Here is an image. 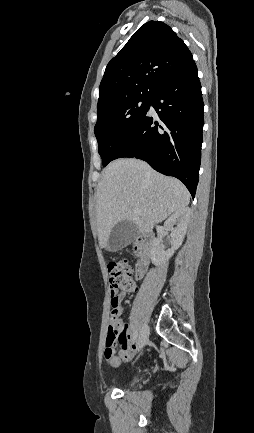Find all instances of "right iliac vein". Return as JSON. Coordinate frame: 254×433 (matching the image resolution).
<instances>
[{
  "label": "right iliac vein",
  "mask_w": 254,
  "mask_h": 433,
  "mask_svg": "<svg viewBox=\"0 0 254 433\" xmlns=\"http://www.w3.org/2000/svg\"><path fill=\"white\" fill-rule=\"evenodd\" d=\"M148 337H149V328L148 326H144L141 331H140V335H139V340H138V348L141 349L145 346V344L148 342Z\"/></svg>",
  "instance_id": "1"
}]
</instances>
